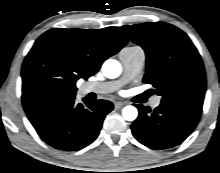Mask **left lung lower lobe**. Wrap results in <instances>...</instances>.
<instances>
[{
    "mask_svg": "<svg viewBox=\"0 0 220 173\" xmlns=\"http://www.w3.org/2000/svg\"><path fill=\"white\" fill-rule=\"evenodd\" d=\"M139 116L132 124V133L142 144L153 149H167L182 143L194 130L201 112L161 102L151 111L143 105H135Z\"/></svg>",
    "mask_w": 220,
    "mask_h": 173,
    "instance_id": "0a47b994",
    "label": "left lung lower lobe"
}]
</instances>
